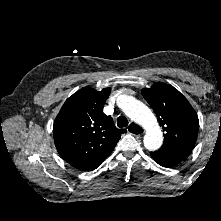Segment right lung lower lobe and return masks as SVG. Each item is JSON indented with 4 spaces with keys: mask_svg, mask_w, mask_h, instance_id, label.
Returning a JSON list of instances; mask_svg holds the SVG:
<instances>
[{
    "mask_svg": "<svg viewBox=\"0 0 221 221\" xmlns=\"http://www.w3.org/2000/svg\"><path fill=\"white\" fill-rule=\"evenodd\" d=\"M100 164H101V163L95 164V165L90 166V167H85V168H82L81 170H83V171H91V170H94V169H96L97 167H99Z\"/></svg>",
    "mask_w": 221,
    "mask_h": 221,
    "instance_id": "obj_1",
    "label": "right lung lower lobe"
}]
</instances>
